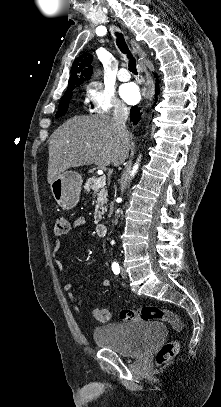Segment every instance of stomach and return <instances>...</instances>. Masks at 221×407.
<instances>
[{"mask_svg":"<svg viewBox=\"0 0 221 407\" xmlns=\"http://www.w3.org/2000/svg\"><path fill=\"white\" fill-rule=\"evenodd\" d=\"M82 176L75 171H64L51 184V193L64 210L73 209L80 198Z\"/></svg>","mask_w":221,"mask_h":407,"instance_id":"obj_1","label":"stomach"}]
</instances>
